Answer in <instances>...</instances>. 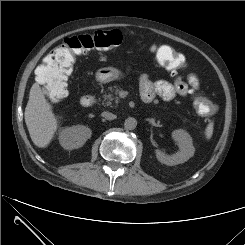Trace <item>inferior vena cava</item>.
<instances>
[{
    "instance_id": "obj_1",
    "label": "inferior vena cava",
    "mask_w": 245,
    "mask_h": 245,
    "mask_svg": "<svg viewBox=\"0 0 245 245\" xmlns=\"http://www.w3.org/2000/svg\"><path fill=\"white\" fill-rule=\"evenodd\" d=\"M102 116L105 119H107V120H114V119H116V115H114L113 113L107 112V111L103 112L102 113Z\"/></svg>"
}]
</instances>
